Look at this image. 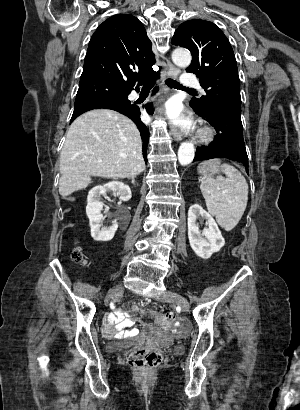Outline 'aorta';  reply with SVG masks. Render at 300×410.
I'll use <instances>...</instances> for the list:
<instances>
[{"instance_id":"1","label":"aorta","mask_w":300,"mask_h":410,"mask_svg":"<svg viewBox=\"0 0 300 410\" xmlns=\"http://www.w3.org/2000/svg\"><path fill=\"white\" fill-rule=\"evenodd\" d=\"M172 60L175 65L186 68L190 65L192 57L189 51L185 49H175L172 53ZM195 156V148L191 142H183L178 150V161L181 165L190 164Z\"/></svg>"}]
</instances>
